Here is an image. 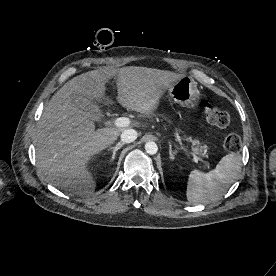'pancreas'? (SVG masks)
I'll use <instances>...</instances> for the list:
<instances>
[{"label":"pancreas","mask_w":276,"mask_h":276,"mask_svg":"<svg viewBox=\"0 0 276 276\" xmlns=\"http://www.w3.org/2000/svg\"><path fill=\"white\" fill-rule=\"evenodd\" d=\"M188 141L192 142L193 150L198 152V153H203L207 151V146L203 145L201 146V143L199 140H192L191 138L187 139Z\"/></svg>","instance_id":"1"}]
</instances>
